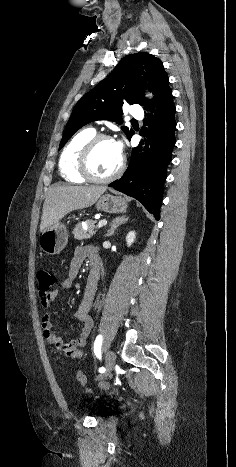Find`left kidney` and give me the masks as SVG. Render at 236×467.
Returning <instances> with one entry per match:
<instances>
[{"label":"left kidney","instance_id":"1","mask_svg":"<svg viewBox=\"0 0 236 467\" xmlns=\"http://www.w3.org/2000/svg\"><path fill=\"white\" fill-rule=\"evenodd\" d=\"M135 232L134 231H130L127 236H126V242H127V245L128 247L131 246V244L134 242L135 240Z\"/></svg>","mask_w":236,"mask_h":467}]
</instances>
